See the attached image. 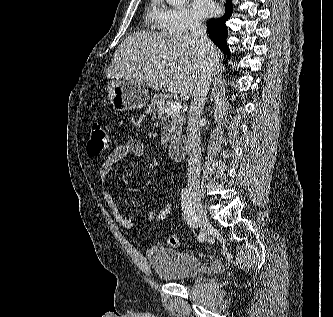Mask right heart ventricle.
I'll list each match as a JSON object with an SVG mask.
<instances>
[{"mask_svg": "<svg viewBox=\"0 0 333 317\" xmlns=\"http://www.w3.org/2000/svg\"><path fill=\"white\" fill-rule=\"evenodd\" d=\"M159 12V3L157 0H150L147 11V17L152 25L157 24V15Z\"/></svg>", "mask_w": 333, "mask_h": 317, "instance_id": "e07e8e85", "label": "right heart ventricle"}]
</instances>
